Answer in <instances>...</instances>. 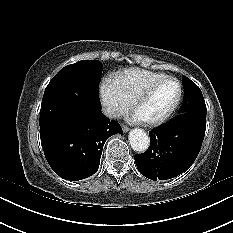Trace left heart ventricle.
I'll return each mask as SVG.
<instances>
[{"label":"left heart ventricle","instance_id":"b2bd125f","mask_svg":"<svg viewBox=\"0 0 233 233\" xmlns=\"http://www.w3.org/2000/svg\"><path fill=\"white\" fill-rule=\"evenodd\" d=\"M177 88L172 81L158 83L150 93L138 104L136 113L142 119L151 120L160 117L173 103Z\"/></svg>","mask_w":233,"mask_h":233}]
</instances>
